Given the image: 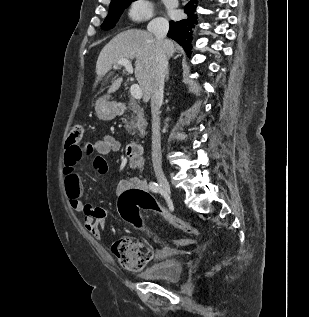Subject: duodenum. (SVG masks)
<instances>
[{"mask_svg": "<svg viewBox=\"0 0 309 317\" xmlns=\"http://www.w3.org/2000/svg\"><path fill=\"white\" fill-rule=\"evenodd\" d=\"M124 107L122 105L118 106V110L122 111ZM143 153V146L139 141H132L126 147V154L129 158H135L141 156Z\"/></svg>", "mask_w": 309, "mask_h": 317, "instance_id": "obj_1", "label": "duodenum"}]
</instances>
